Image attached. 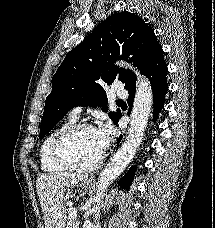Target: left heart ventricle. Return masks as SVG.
<instances>
[{"label":"left heart ventricle","mask_w":215,"mask_h":228,"mask_svg":"<svg viewBox=\"0 0 215 228\" xmlns=\"http://www.w3.org/2000/svg\"><path fill=\"white\" fill-rule=\"evenodd\" d=\"M65 157L77 165H88L97 161L104 151L99 145L96 130H80L64 144Z\"/></svg>","instance_id":"obj_1"}]
</instances>
